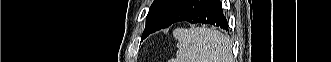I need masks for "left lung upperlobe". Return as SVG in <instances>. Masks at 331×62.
I'll list each match as a JSON object with an SVG mask.
<instances>
[{"instance_id":"obj_1","label":"left lung upper lobe","mask_w":331,"mask_h":62,"mask_svg":"<svg viewBox=\"0 0 331 62\" xmlns=\"http://www.w3.org/2000/svg\"><path fill=\"white\" fill-rule=\"evenodd\" d=\"M185 0H154L146 17L144 32L153 33L163 28L171 15Z\"/></svg>"}]
</instances>
